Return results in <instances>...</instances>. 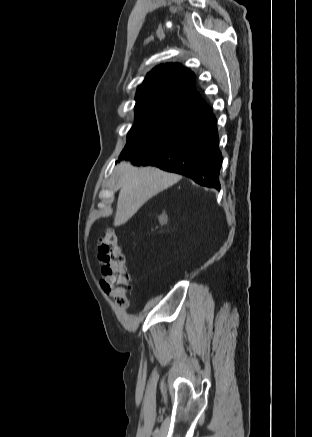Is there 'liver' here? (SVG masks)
<instances>
[{
	"mask_svg": "<svg viewBox=\"0 0 312 437\" xmlns=\"http://www.w3.org/2000/svg\"><path fill=\"white\" fill-rule=\"evenodd\" d=\"M121 186L114 226L125 224L150 198L176 184L181 177L155 167L138 168L122 161L116 170Z\"/></svg>",
	"mask_w": 312,
	"mask_h": 437,
	"instance_id": "6515ba94",
	"label": "liver"
}]
</instances>
